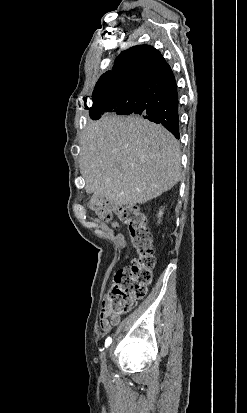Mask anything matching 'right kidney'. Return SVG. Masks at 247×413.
I'll return each mask as SVG.
<instances>
[{
    "label": "right kidney",
    "instance_id": "right-kidney-1",
    "mask_svg": "<svg viewBox=\"0 0 247 413\" xmlns=\"http://www.w3.org/2000/svg\"><path fill=\"white\" fill-rule=\"evenodd\" d=\"M160 215H162L161 211H160V213H159V217H160Z\"/></svg>",
    "mask_w": 247,
    "mask_h": 413
}]
</instances>
